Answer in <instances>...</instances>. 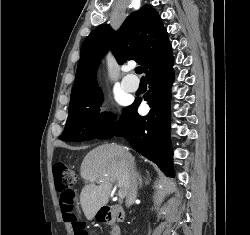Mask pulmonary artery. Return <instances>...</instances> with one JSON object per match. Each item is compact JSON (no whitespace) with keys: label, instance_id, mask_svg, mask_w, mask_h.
Segmentation results:
<instances>
[{"label":"pulmonary artery","instance_id":"pulmonary-artery-1","mask_svg":"<svg viewBox=\"0 0 250 235\" xmlns=\"http://www.w3.org/2000/svg\"><path fill=\"white\" fill-rule=\"evenodd\" d=\"M130 78L131 77L129 76L124 77L122 80V86L126 91L134 92L139 87V81L138 80L131 81Z\"/></svg>","mask_w":250,"mask_h":235}]
</instances>
